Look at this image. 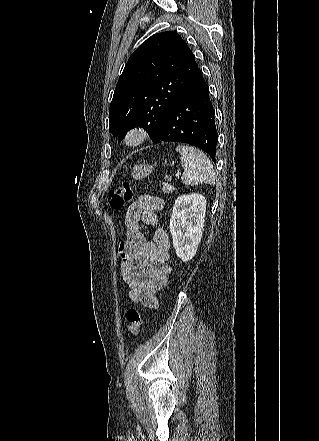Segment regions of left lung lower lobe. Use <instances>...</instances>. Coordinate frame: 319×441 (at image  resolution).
Returning a JSON list of instances; mask_svg holds the SVG:
<instances>
[{
    "instance_id": "obj_1",
    "label": "left lung lower lobe",
    "mask_w": 319,
    "mask_h": 441,
    "mask_svg": "<svg viewBox=\"0 0 319 441\" xmlns=\"http://www.w3.org/2000/svg\"><path fill=\"white\" fill-rule=\"evenodd\" d=\"M217 140L209 88L198 68L171 107L153 143H188L204 150L215 161Z\"/></svg>"
}]
</instances>
